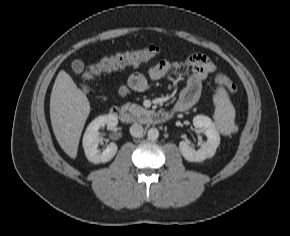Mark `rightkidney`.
Here are the masks:
<instances>
[{"mask_svg": "<svg viewBox=\"0 0 290 236\" xmlns=\"http://www.w3.org/2000/svg\"><path fill=\"white\" fill-rule=\"evenodd\" d=\"M118 124V119L112 114L101 115L95 118L87 127L82 145L87 159L95 164L105 163L110 161L117 153L118 147L115 143H110L107 148L101 152L98 149L100 143L99 129L107 126L108 129H113Z\"/></svg>", "mask_w": 290, "mask_h": 236, "instance_id": "right-kidney-1", "label": "right kidney"}]
</instances>
